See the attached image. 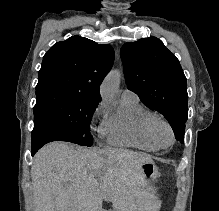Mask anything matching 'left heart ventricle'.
<instances>
[{
	"mask_svg": "<svg viewBox=\"0 0 219 211\" xmlns=\"http://www.w3.org/2000/svg\"><path fill=\"white\" fill-rule=\"evenodd\" d=\"M160 137L164 142L169 140V133L165 128H162L160 131Z\"/></svg>",
	"mask_w": 219,
	"mask_h": 211,
	"instance_id": "b2bd125f",
	"label": "left heart ventricle"
}]
</instances>
